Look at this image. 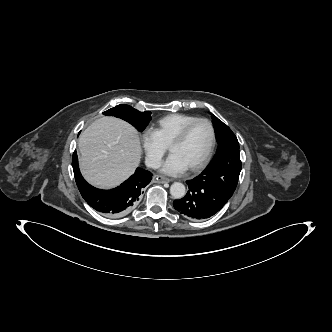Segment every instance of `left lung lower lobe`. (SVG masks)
Returning a JSON list of instances; mask_svg holds the SVG:
<instances>
[{
  "label": "left lung lower lobe",
  "mask_w": 332,
  "mask_h": 332,
  "mask_svg": "<svg viewBox=\"0 0 332 332\" xmlns=\"http://www.w3.org/2000/svg\"><path fill=\"white\" fill-rule=\"evenodd\" d=\"M186 183L189 188L187 194L182 199L174 200L173 206L180 214L187 218L194 220L210 218L230 199L220 191L209 186L201 176H197Z\"/></svg>",
  "instance_id": "1"
}]
</instances>
